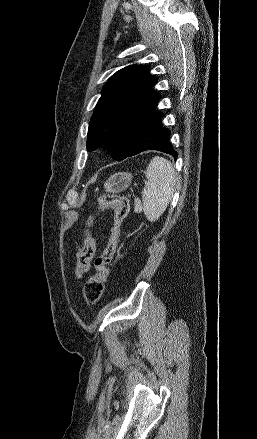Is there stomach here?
Instances as JSON below:
<instances>
[{
  "label": "stomach",
  "mask_w": 257,
  "mask_h": 439,
  "mask_svg": "<svg viewBox=\"0 0 257 439\" xmlns=\"http://www.w3.org/2000/svg\"><path fill=\"white\" fill-rule=\"evenodd\" d=\"M131 181V173L118 172L107 179L104 183V189L108 193H121L129 187Z\"/></svg>",
  "instance_id": "obj_1"
}]
</instances>
